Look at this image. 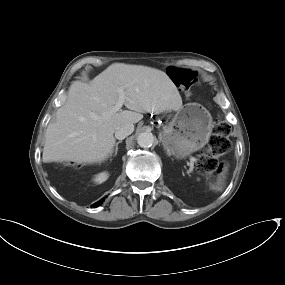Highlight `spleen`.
Segmentation results:
<instances>
[{"mask_svg": "<svg viewBox=\"0 0 285 285\" xmlns=\"http://www.w3.org/2000/svg\"><path fill=\"white\" fill-rule=\"evenodd\" d=\"M211 187L215 191H222L224 187V176L218 180L216 185H212Z\"/></svg>", "mask_w": 285, "mask_h": 285, "instance_id": "obj_1", "label": "spleen"}]
</instances>
